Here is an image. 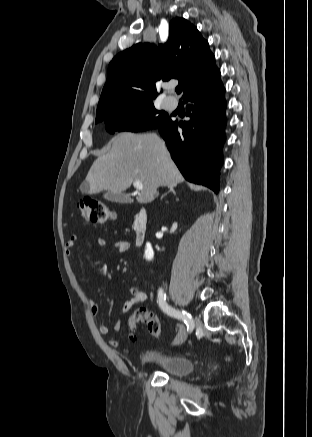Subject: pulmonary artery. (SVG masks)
<instances>
[{
	"label": "pulmonary artery",
	"mask_w": 312,
	"mask_h": 437,
	"mask_svg": "<svg viewBox=\"0 0 312 437\" xmlns=\"http://www.w3.org/2000/svg\"><path fill=\"white\" fill-rule=\"evenodd\" d=\"M164 103L170 110H174L177 107V101L173 98H167Z\"/></svg>",
	"instance_id": "pulmonary-artery-1"
}]
</instances>
